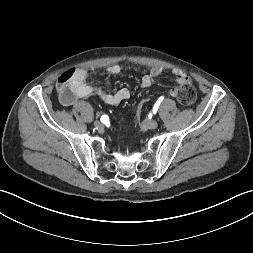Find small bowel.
Instances as JSON below:
<instances>
[{
  "mask_svg": "<svg viewBox=\"0 0 253 253\" xmlns=\"http://www.w3.org/2000/svg\"><path fill=\"white\" fill-rule=\"evenodd\" d=\"M108 73L111 75H118L122 72V68L118 64H113L108 67ZM163 69L159 66L153 67L148 74L143 75L140 78L141 87H149L152 85L156 78L160 76ZM175 81L179 87L191 84L190 78L185 72L179 69L172 71ZM87 71L85 69H76L73 71V77L69 85L68 97H62L61 102L65 106H71L75 104L79 99L88 98L92 95L98 96L103 102L110 106H117L123 101L129 99L130 91L127 88H121L115 93H108L101 87L90 86L86 82ZM177 88L170 90V95L173 97L177 96Z\"/></svg>",
  "mask_w": 253,
  "mask_h": 253,
  "instance_id": "c3829d8e",
  "label": "small bowel"
}]
</instances>
